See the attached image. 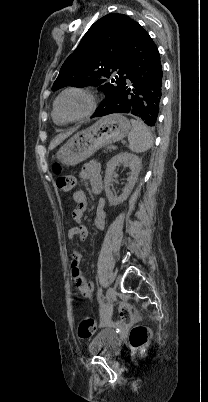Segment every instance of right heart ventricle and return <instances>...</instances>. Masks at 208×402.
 I'll list each match as a JSON object with an SVG mask.
<instances>
[{
	"label": "right heart ventricle",
	"instance_id": "1",
	"mask_svg": "<svg viewBox=\"0 0 208 402\" xmlns=\"http://www.w3.org/2000/svg\"><path fill=\"white\" fill-rule=\"evenodd\" d=\"M51 116H52L53 122H54L56 125H58V126H63V125H65V123L62 122V121L57 117V115L54 113V111H52Z\"/></svg>",
	"mask_w": 208,
	"mask_h": 402
}]
</instances>
